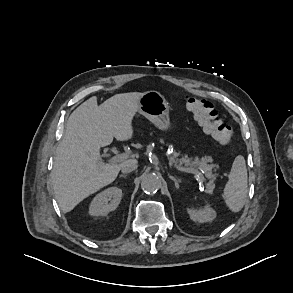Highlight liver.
<instances>
[{
  "label": "liver",
  "mask_w": 293,
  "mask_h": 293,
  "mask_svg": "<svg viewBox=\"0 0 293 293\" xmlns=\"http://www.w3.org/2000/svg\"><path fill=\"white\" fill-rule=\"evenodd\" d=\"M141 96L137 92L116 94L100 106L97 98L91 97L72 112L51 172L62 212H70L116 179L122 163L101 162L100 149L110 145L113 138L126 141L133 137L132 120L139 111Z\"/></svg>",
  "instance_id": "obj_1"
}]
</instances>
